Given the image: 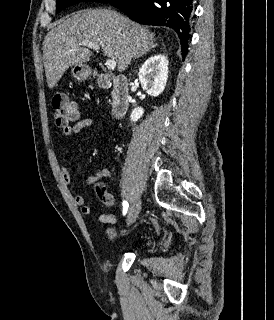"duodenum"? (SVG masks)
I'll list each match as a JSON object with an SVG mask.
<instances>
[{
    "mask_svg": "<svg viewBox=\"0 0 274 320\" xmlns=\"http://www.w3.org/2000/svg\"><path fill=\"white\" fill-rule=\"evenodd\" d=\"M95 77L99 88L112 90V115L114 117L124 115L130 104V83L128 78L124 76L109 77L102 73H97Z\"/></svg>",
    "mask_w": 274,
    "mask_h": 320,
    "instance_id": "410a0bca",
    "label": "duodenum"
}]
</instances>
